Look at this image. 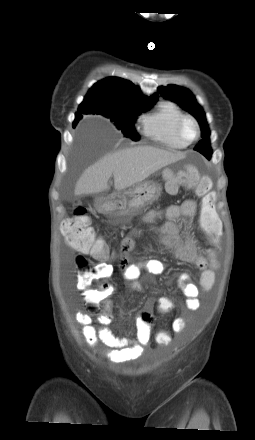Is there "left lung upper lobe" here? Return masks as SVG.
<instances>
[{"label":"left lung upper lobe","instance_id":"1","mask_svg":"<svg viewBox=\"0 0 255 440\" xmlns=\"http://www.w3.org/2000/svg\"><path fill=\"white\" fill-rule=\"evenodd\" d=\"M158 91L163 97L178 103L198 120L202 132L201 137L203 139L199 141L194 149L210 159L212 155L209 143L210 131L206 122L205 113L203 112L202 107L196 102L192 93L188 89L177 85L159 87Z\"/></svg>","mask_w":255,"mask_h":440}]
</instances>
